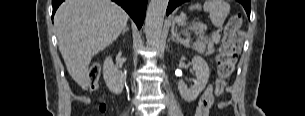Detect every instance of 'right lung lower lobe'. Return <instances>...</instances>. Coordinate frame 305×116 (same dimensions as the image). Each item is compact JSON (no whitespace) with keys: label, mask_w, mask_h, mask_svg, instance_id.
<instances>
[{"label":"right lung lower lobe","mask_w":305,"mask_h":116,"mask_svg":"<svg viewBox=\"0 0 305 116\" xmlns=\"http://www.w3.org/2000/svg\"><path fill=\"white\" fill-rule=\"evenodd\" d=\"M64 0H52L53 14L52 19L55 14L56 9ZM119 4L125 11L131 16L135 21L138 28H141L146 12V6L148 0H112Z\"/></svg>","instance_id":"1"}]
</instances>
